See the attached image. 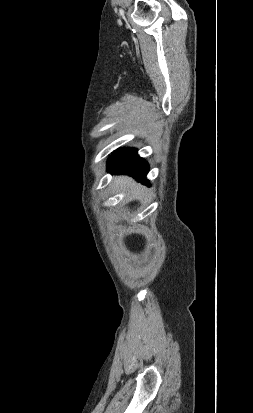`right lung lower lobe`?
<instances>
[{
    "instance_id": "obj_1",
    "label": "right lung lower lobe",
    "mask_w": 253,
    "mask_h": 413,
    "mask_svg": "<svg viewBox=\"0 0 253 413\" xmlns=\"http://www.w3.org/2000/svg\"><path fill=\"white\" fill-rule=\"evenodd\" d=\"M108 172L128 174L139 181L148 184L146 175L149 170L148 163L140 158L136 149L120 148L108 159Z\"/></svg>"
}]
</instances>
